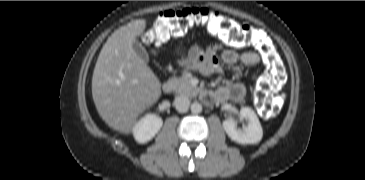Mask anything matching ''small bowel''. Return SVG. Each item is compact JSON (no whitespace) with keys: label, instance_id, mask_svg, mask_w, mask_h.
Instances as JSON below:
<instances>
[{"label":"small bowel","instance_id":"obj_1","mask_svg":"<svg viewBox=\"0 0 365 180\" xmlns=\"http://www.w3.org/2000/svg\"><path fill=\"white\" fill-rule=\"evenodd\" d=\"M221 47L212 44L207 47L193 46L186 51L184 57L179 60V64L200 72L203 75H213L223 72L221 62L238 68L240 66H254L260 63V57L254 52L237 53L231 49L221 51ZM177 52L182 53L184 50L178 49ZM246 93L245 86L241 83H235L229 86L219 88L214 97L219 100L241 101Z\"/></svg>","mask_w":365,"mask_h":180}]
</instances>
